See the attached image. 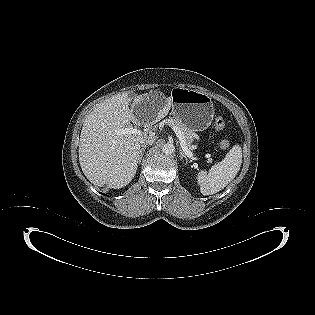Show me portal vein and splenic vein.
<instances>
[{"label": "portal vein and splenic vein", "instance_id": "portal-vein-and-splenic-vein-1", "mask_svg": "<svg viewBox=\"0 0 315 315\" xmlns=\"http://www.w3.org/2000/svg\"><path fill=\"white\" fill-rule=\"evenodd\" d=\"M173 131L175 132L176 136L178 137L179 141H180V145L182 150L184 151V153L191 158L193 156L192 152L190 151V149L187 146L186 143V138L184 136V134L182 133V131L176 127V126H172ZM141 132L139 130H137L136 128L133 127H127L124 129H120L117 131V134H140Z\"/></svg>", "mask_w": 315, "mask_h": 315}]
</instances>
